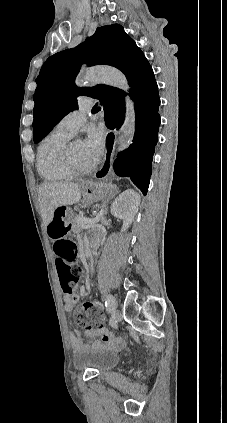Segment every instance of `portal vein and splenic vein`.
I'll return each mask as SVG.
<instances>
[{"mask_svg": "<svg viewBox=\"0 0 227 423\" xmlns=\"http://www.w3.org/2000/svg\"><path fill=\"white\" fill-rule=\"evenodd\" d=\"M105 214L104 210H100L99 214L96 217H93V219H91V217H80V221L81 223H95V221H99Z\"/></svg>", "mask_w": 227, "mask_h": 423, "instance_id": "obj_1", "label": "portal vein and splenic vein"}]
</instances>
